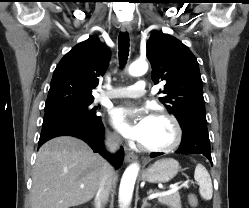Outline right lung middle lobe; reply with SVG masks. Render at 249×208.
Wrapping results in <instances>:
<instances>
[{
	"instance_id": "obj_1",
	"label": "right lung middle lobe",
	"mask_w": 249,
	"mask_h": 208,
	"mask_svg": "<svg viewBox=\"0 0 249 208\" xmlns=\"http://www.w3.org/2000/svg\"><path fill=\"white\" fill-rule=\"evenodd\" d=\"M93 100L81 101V102H71L61 105H56L52 107L45 108L46 114H57V115H66L74 116L84 120L93 121L99 116L96 115L97 107L92 108Z\"/></svg>"
}]
</instances>
